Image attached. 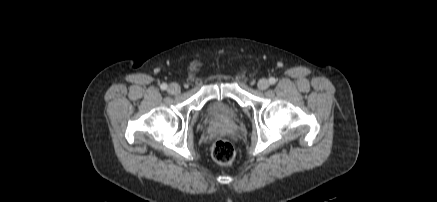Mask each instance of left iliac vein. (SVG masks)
<instances>
[{
	"label": "left iliac vein",
	"instance_id": "obj_1",
	"mask_svg": "<svg viewBox=\"0 0 437 202\" xmlns=\"http://www.w3.org/2000/svg\"><path fill=\"white\" fill-rule=\"evenodd\" d=\"M257 86L260 90H266L270 86V84H269V81L267 79L263 78V79L259 80Z\"/></svg>",
	"mask_w": 437,
	"mask_h": 202
}]
</instances>
